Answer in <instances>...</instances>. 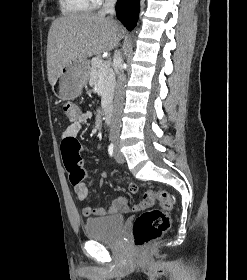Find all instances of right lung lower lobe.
I'll list each match as a JSON object with an SVG mask.
<instances>
[{"instance_id":"1","label":"right lung lower lobe","mask_w":247,"mask_h":280,"mask_svg":"<svg viewBox=\"0 0 247 280\" xmlns=\"http://www.w3.org/2000/svg\"><path fill=\"white\" fill-rule=\"evenodd\" d=\"M140 0H118L116 4L117 18L128 30H132L137 23Z\"/></svg>"}]
</instances>
